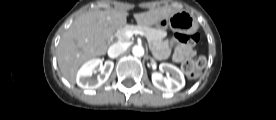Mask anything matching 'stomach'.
<instances>
[{"mask_svg": "<svg viewBox=\"0 0 276 120\" xmlns=\"http://www.w3.org/2000/svg\"><path fill=\"white\" fill-rule=\"evenodd\" d=\"M155 26L161 31H164L169 26L174 32L190 33L197 30L198 23L193 14L180 10L170 17L162 19Z\"/></svg>", "mask_w": 276, "mask_h": 120, "instance_id": "0dacf381", "label": "stomach"}]
</instances>
